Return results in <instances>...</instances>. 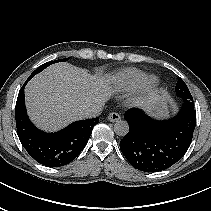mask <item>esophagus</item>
I'll use <instances>...</instances> for the list:
<instances>
[{"mask_svg":"<svg viewBox=\"0 0 211 211\" xmlns=\"http://www.w3.org/2000/svg\"><path fill=\"white\" fill-rule=\"evenodd\" d=\"M121 119L120 115L116 112H112L108 115V121L117 122Z\"/></svg>","mask_w":211,"mask_h":211,"instance_id":"34e87169","label":"esophagus"}]
</instances>
